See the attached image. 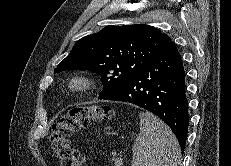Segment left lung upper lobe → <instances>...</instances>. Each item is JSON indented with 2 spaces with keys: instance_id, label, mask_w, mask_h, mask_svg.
<instances>
[{
  "instance_id": "5c2ea615",
  "label": "left lung upper lobe",
  "mask_w": 231,
  "mask_h": 166,
  "mask_svg": "<svg viewBox=\"0 0 231 166\" xmlns=\"http://www.w3.org/2000/svg\"><path fill=\"white\" fill-rule=\"evenodd\" d=\"M170 42L169 36L149 25L107 26L78 40L55 71L89 70L101 75L102 99L153 61Z\"/></svg>"
}]
</instances>
